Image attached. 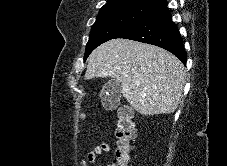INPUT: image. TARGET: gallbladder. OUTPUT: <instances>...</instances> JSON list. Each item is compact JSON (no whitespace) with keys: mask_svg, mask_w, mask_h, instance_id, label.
<instances>
[{"mask_svg":"<svg viewBox=\"0 0 227 166\" xmlns=\"http://www.w3.org/2000/svg\"><path fill=\"white\" fill-rule=\"evenodd\" d=\"M121 96V83L117 79L108 80L101 90V102L106 109H113L119 103Z\"/></svg>","mask_w":227,"mask_h":166,"instance_id":"bac80fb5","label":"gallbladder"}]
</instances>
